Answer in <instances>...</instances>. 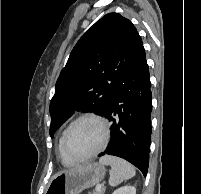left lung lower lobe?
<instances>
[{
    "label": "left lung lower lobe",
    "mask_w": 201,
    "mask_h": 194,
    "mask_svg": "<svg viewBox=\"0 0 201 194\" xmlns=\"http://www.w3.org/2000/svg\"><path fill=\"white\" fill-rule=\"evenodd\" d=\"M151 83L144 47L140 49L110 100L104 116L112 139L99 156L121 157L146 176L151 144Z\"/></svg>",
    "instance_id": "0a47b994"
}]
</instances>
